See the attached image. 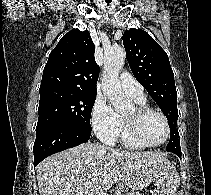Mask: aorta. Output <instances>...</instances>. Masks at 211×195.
Listing matches in <instances>:
<instances>
[{"instance_id": "1", "label": "aorta", "mask_w": 211, "mask_h": 195, "mask_svg": "<svg viewBox=\"0 0 211 195\" xmlns=\"http://www.w3.org/2000/svg\"><path fill=\"white\" fill-rule=\"evenodd\" d=\"M125 50L115 46L105 52L102 90L117 112L132 108L133 103L124 95L119 81V71L124 65Z\"/></svg>"}]
</instances>
